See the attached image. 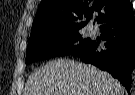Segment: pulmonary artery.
Returning <instances> with one entry per match:
<instances>
[{
  "label": "pulmonary artery",
  "instance_id": "1",
  "mask_svg": "<svg viewBox=\"0 0 135 95\" xmlns=\"http://www.w3.org/2000/svg\"><path fill=\"white\" fill-rule=\"evenodd\" d=\"M89 33H90L91 35H94V34L96 33L95 28L90 27V28H89Z\"/></svg>",
  "mask_w": 135,
  "mask_h": 95
}]
</instances>
